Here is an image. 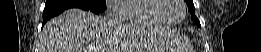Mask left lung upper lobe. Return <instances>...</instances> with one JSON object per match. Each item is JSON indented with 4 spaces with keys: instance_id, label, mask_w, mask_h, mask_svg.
<instances>
[{
    "instance_id": "left-lung-upper-lobe-1",
    "label": "left lung upper lobe",
    "mask_w": 261,
    "mask_h": 52,
    "mask_svg": "<svg viewBox=\"0 0 261 52\" xmlns=\"http://www.w3.org/2000/svg\"><path fill=\"white\" fill-rule=\"evenodd\" d=\"M185 1L187 2V5L189 7L192 20L194 21L195 24H197V26L201 27L199 20L195 16V11L193 10V7H194L193 1L192 0H185Z\"/></svg>"
}]
</instances>
